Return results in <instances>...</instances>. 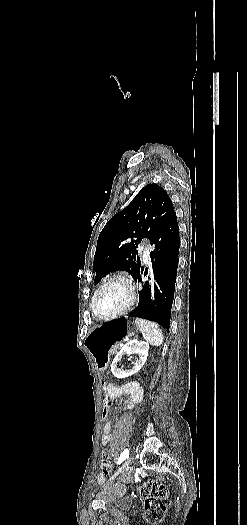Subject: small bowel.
Listing matches in <instances>:
<instances>
[{
  "label": "small bowel",
  "mask_w": 247,
  "mask_h": 525,
  "mask_svg": "<svg viewBox=\"0 0 247 525\" xmlns=\"http://www.w3.org/2000/svg\"><path fill=\"white\" fill-rule=\"evenodd\" d=\"M124 392V388L119 387L117 385H112L111 387H108V394L106 395L107 399L115 400L118 397H120ZM143 393L142 390L138 387L134 388L133 391L129 394L128 398L125 401V404L127 406H132L135 403H138L142 400ZM112 439V424L109 421H106L103 425L102 429V435H101V442L103 446H108ZM112 458L114 461H117L119 458V449L116 447L112 450ZM96 481L98 483H103L105 481V478L102 474L96 475Z\"/></svg>",
  "instance_id": "c3829d8e"
}]
</instances>
